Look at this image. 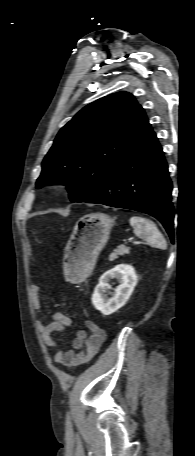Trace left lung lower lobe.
<instances>
[{
    "mask_svg": "<svg viewBox=\"0 0 195 456\" xmlns=\"http://www.w3.org/2000/svg\"><path fill=\"white\" fill-rule=\"evenodd\" d=\"M171 191L162 147L146 118L103 185L84 202L147 213L173 239Z\"/></svg>",
    "mask_w": 195,
    "mask_h": 456,
    "instance_id": "obj_1",
    "label": "left lung lower lobe"
}]
</instances>
